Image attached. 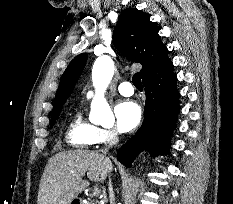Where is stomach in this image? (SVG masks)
I'll return each instance as SVG.
<instances>
[{
  "label": "stomach",
  "mask_w": 233,
  "mask_h": 204,
  "mask_svg": "<svg viewBox=\"0 0 233 204\" xmlns=\"http://www.w3.org/2000/svg\"><path fill=\"white\" fill-rule=\"evenodd\" d=\"M73 202H74V200H73L71 203H73ZM71 203H70V204H71ZM76 203H77V204H82L81 201H76Z\"/></svg>",
  "instance_id": "0dacf381"
}]
</instances>
